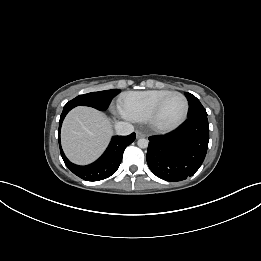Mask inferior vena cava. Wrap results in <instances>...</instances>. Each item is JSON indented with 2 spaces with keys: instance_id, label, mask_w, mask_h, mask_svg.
Masks as SVG:
<instances>
[{
  "instance_id": "inferior-vena-cava-1",
  "label": "inferior vena cava",
  "mask_w": 261,
  "mask_h": 261,
  "mask_svg": "<svg viewBox=\"0 0 261 261\" xmlns=\"http://www.w3.org/2000/svg\"><path fill=\"white\" fill-rule=\"evenodd\" d=\"M115 133L117 135H129L134 131V127L132 124L127 122H117L114 125Z\"/></svg>"
}]
</instances>
